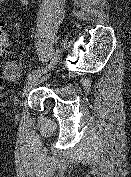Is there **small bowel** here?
I'll return each instance as SVG.
<instances>
[{"mask_svg": "<svg viewBox=\"0 0 131 177\" xmlns=\"http://www.w3.org/2000/svg\"><path fill=\"white\" fill-rule=\"evenodd\" d=\"M18 1L22 6H27L30 2V0H18ZM5 3H6V0H0V9L5 5ZM23 20H24L23 16H20L18 18V21L20 23L23 22Z\"/></svg>", "mask_w": 131, "mask_h": 177, "instance_id": "1", "label": "small bowel"}]
</instances>
